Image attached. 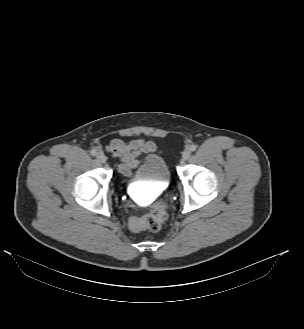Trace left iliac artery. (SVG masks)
Instances as JSON below:
<instances>
[{
  "mask_svg": "<svg viewBox=\"0 0 304 329\" xmlns=\"http://www.w3.org/2000/svg\"><path fill=\"white\" fill-rule=\"evenodd\" d=\"M197 149V146L196 145H191V147H190V150L191 151H195Z\"/></svg>",
  "mask_w": 304,
  "mask_h": 329,
  "instance_id": "44dca946",
  "label": "left iliac artery"
}]
</instances>
